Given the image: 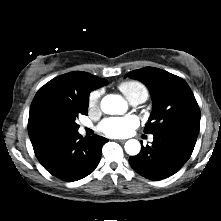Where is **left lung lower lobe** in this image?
Listing matches in <instances>:
<instances>
[{
	"label": "left lung lower lobe",
	"mask_w": 221,
	"mask_h": 221,
	"mask_svg": "<svg viewBox=\"0 0 221 221\" xmlns=\"http://www.w3.org/2000/svg\"><path fill=\"white\" fill-rule=\"evenodd\" d=\"M197 137L179 130H164L154 134L151 146L129 158L131 167L150 180H161L176 173L190 158Z\"/></svg>",
	"instance_id": "0a47b994"
}]
</instances>
